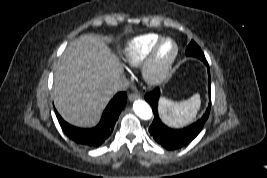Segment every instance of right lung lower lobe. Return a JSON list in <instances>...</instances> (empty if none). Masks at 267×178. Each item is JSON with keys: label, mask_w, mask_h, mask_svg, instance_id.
Wrapping results in <instances>:
<instances>
[{"label": "right lung lower lobe", "mask_w": 267, "mask_h": 178, "mask_svg": "<svg viewBox=\"0 0 267 178\" xmlns=\"http://www.w3.org/2000/svg\"><path fill=\"white\" fill-rule=\"evenodd\" d=\"M126 100L127 94L125 92L116 94L104 110L99 124L89 129L72 126L65 122L57 112L56 114L62 130L71 140L79 145L95 148L102 145L112 134Z\"/></svg>", "instance_id": "1"}]
</instances>
